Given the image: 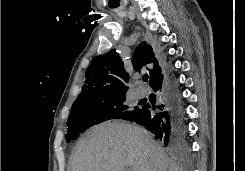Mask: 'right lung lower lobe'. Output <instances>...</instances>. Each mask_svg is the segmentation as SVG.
<instances>
[{"mask_svg": "<svg viewBox=\"0 0 245 171\" xmlns=\"http://www.w3.org/2000/svg\"><path fill=\"white\" fill-rule=\"evenodd\" d=\"M150 86L157 93V104H145L131 121L151 131L165 146L184 145L185 111L178 82L171 67L164 66L162 76Z\"/></svg>", "mask_w": 245, "mask_h": 171, "instance_id": "98d812e1", "label": "right lung lower lobe"}]
</instances>
